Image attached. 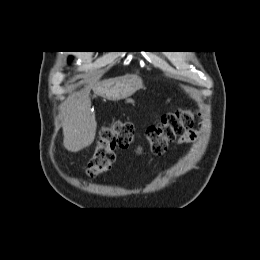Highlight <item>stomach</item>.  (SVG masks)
I'll return each instance as SVG.
<instances>
[{"label":"stomach","mask_w":260,"mask_h":260,"mask_svg":"<svg viewBox=\"0 0 260 260\" xmlns=\"http://www.w3.org/2000/svg\"><path fill=\"white\" fill-rule=\"evenodd\" d=\"M142 87V81L137 76H124L117 79L116 83L110 88L111 98L120 100L133 95Z\"/></svg>","instance_id":"obj_1"}]
</instances>
